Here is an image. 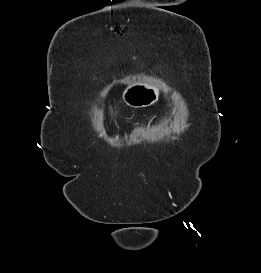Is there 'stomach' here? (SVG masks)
Returning <instances> with one entry per match:
<instances>
[{
  "label": "stomach",
  "instance_id": "stomach-1",
  "mask_svg": "<svg viewBox=\"0 0 261 273\" xmlns=\"http://www.w3.org/2000/svg\"><path fill=\"white\" fill-rule=\"evenodd\" d=\"M159 95V86L147 81H137L124 89L122 99L131 107L141 108L153 105L158 100Z\"/></svg>",
  "mask_w": 261,
  "mask_h": 273
}]
</instances>
